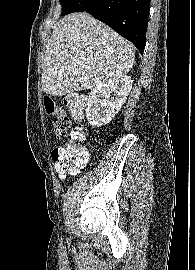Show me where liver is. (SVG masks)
Listing matches in <instances>:
<instances>
[{
    "label": "liver",
    "mask_w": 195,
    "mask_h": 270,
    "mask_svg": "<svg viewBox=\"0 0 195 270\" xmlns=\"http://www.w3.org/2000/svg\"><path fill=\"white\" fill-rule=\"evenodd\" d=\"M133 45L88 13L65 16L48 40L42 90L52 96L95 88L127 74Z\"/></svg>",
    "instance_id": "obj_1"
}]
</instances>
